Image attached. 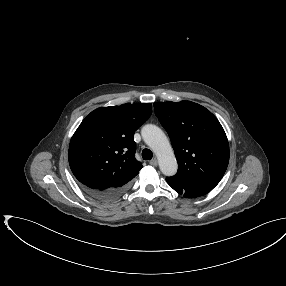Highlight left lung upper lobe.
<instances>
[{"label":"left lung upper lobe","mask_w":286,"mask_h":286,"mask_svg":"<svg viewBox=\"0 0 286 286\" xmlns=\"http://www.w3.org/2000/svg\"><path fill=\"white\" fill-rule=\"evenodd\" d=\"M155 114L166 129L179 165L172 179L212 190L229 162V144L218 119L190 101L156 102Z\"/></svg>","instance_id":"obj_1"}]
</instances>
